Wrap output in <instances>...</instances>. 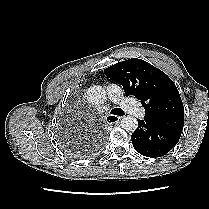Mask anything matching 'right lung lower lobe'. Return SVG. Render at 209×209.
<instances>
[{"label":"right lung lower lobe","instance_id":"obj_1","mask_svg":"<svg viewBox=\"0 0 209 209\" xmlns=\"http://www.w3.org/2000/svg\"><path fill=\"white\" fill-rule=\"evenodd\" d=\"M94 138V141L95 142H97L98 143V145H101L102 144V142H103V137H102V135H100L99 133H97L96 135H95V137H93ZM94 146L92 147V146H86L85 148H84V151H86V152H92L93 150H94ZM80 150V149H79Z\"/></svg>","mask_w":209,"mask_h":209}]
</instances>
